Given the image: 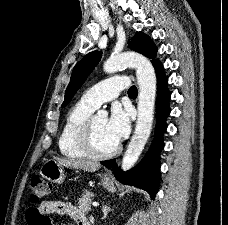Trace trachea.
Masks as SVG:
<instances>
[{"label":"trachea","instance_id":"trachea-1","mask_svg":"<svg viewBox=\"0 0 228 225\" xmlns=\"http://www.w3.org/2000/svg\"><path fill=\"white\" fill-rule=\"evenodd\" d=\"M128 95H137V88L135 85H133L132 87L129 88L128 90Z\"/></svg>","mask_w":228,"mask_h":225}]
</instances>
